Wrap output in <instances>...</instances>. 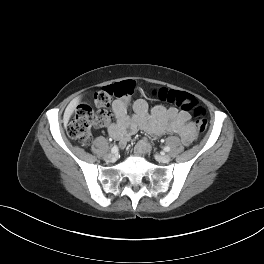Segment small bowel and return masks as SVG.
I'll return each instance as SVG.
<instances>
[{"instance_id":"small-bowel-1","label":"small bowel","mask_w":264,"mask_h":264,"mask_svg":"<svg viewBox=\"0 0 264 264\" xmlns=\"http://www.w3.org/2000/svg\"><path fill=\"white\" fill-rule=\"evenodd\" d=\"M128 101L117 99L113 102V111L116 122L108 127L109 134L125 145L137 130H144L153 135L163 133L177 134L184 145H190L196 131L189 113L178 111L175 108L156 106L148 113V104L143 99H138L133 104L132 114L127 110ZM149 150L148 141L143 138L135 146L137 154H145Z\"/></svg>"}]
</instances>
